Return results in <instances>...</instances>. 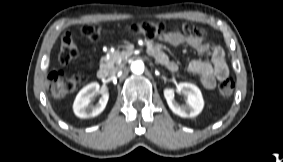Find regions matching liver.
I'll list each match as a JSON object with an SVG mask.
<instances>
[{"mask_svg":"<svg viewBox=\"0 0 283 162\" xmlns=\"http://www.w3.org/2000/svg\"><path fill=\"white\" fill-rule=\"evenodd\" d=\"M44 86H45L46 89L49 88V81H48V80H45V81H44Z\"/></svg>","mask_w":283,"mask_h":162,"instance_id":"obj_1","label":"liver"}]
</instances>
